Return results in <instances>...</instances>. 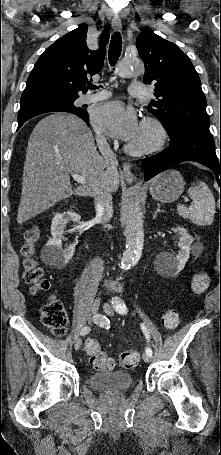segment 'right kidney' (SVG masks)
I'll use <instances>...</instances> for the list:
<instances>
[{
    "instance_id": "right-kidney-1",
    "label": "right kidney",
    "mask_w": 221,
    "mask_h": 455,
    "mask_svg": "<svg viewBox=\"0 0 221 455\" xmlns=\"http://www.w3.org/2000/svg\"><path fill=\"white\" fill-rule=\"evenodd\" d=\"M80 219L81 216L72 211L54 216L51 224L52 238L48 240L41 251L43 262L59 269L63 268L69 262L75 252L76 243L70 244L65 249L62 248L64 229L70 221L78 222Z\"/></svg>"
}]
</instances>
